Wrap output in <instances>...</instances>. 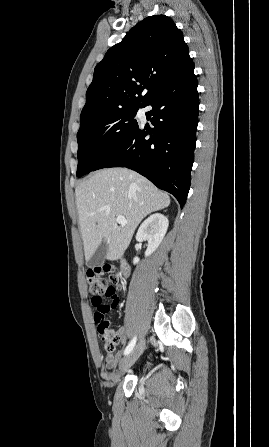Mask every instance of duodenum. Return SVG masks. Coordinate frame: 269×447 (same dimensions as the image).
<instances>
[{"label":"duodenum","mask_w":269,"mask_h":447,"mask_svg":"<svg viewBox=\"0 0 269 447\" xmlns=\"http://www.w3.org/2000/svg\"><path fill=\"white\" fill-rule=\"evenodd\" d=\"M120 273L123 278H126L129 274V266L124 259L121 260V263H120Z\"/></svg>","instance_id":"410a0bca"}]
</instances>
